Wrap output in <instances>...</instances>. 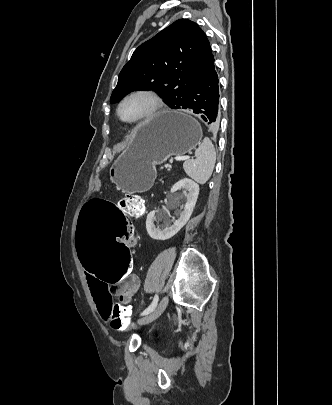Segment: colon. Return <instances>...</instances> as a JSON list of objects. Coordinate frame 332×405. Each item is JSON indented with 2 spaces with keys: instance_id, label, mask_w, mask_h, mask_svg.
<instances>
[{
  "instance_id": "1",
  "label": "colon",
  "mask_w": 332,
  "mask_h": 405,
  "mask_svg": "<svg viewBox=\"0 0 332 405\" xmlns=\"http://www.w3.org/2000/svg\"><path fill=\"white\" fill-rule=\"evenodd\" d=\"M144 212L143 200L137 195H127L117 202L106 197H89L83 202L79 219L74 220L77 257L85 275H98V281H107L109 287H118L120 281H128L132 274V249H136L137 227L128 220V211ZM109 322L114 329L127 331L137 318L132 307L111 303ZM149 334H156L158 327L149 325Z\"/></svg>"
}]
</instances>
